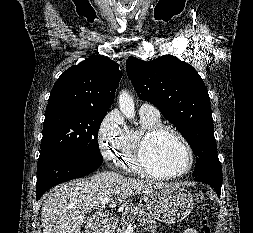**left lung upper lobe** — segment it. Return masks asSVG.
I'll return each mask as SVG.
<instances>
[{
    "label": "left lung upper lobe",
    "instance_id": "obj_1",
    "mask_svg": "<svg viewBox=\"0 0 253 233\" xmlns=\"http://www.w3.org/2000/svg\"><path fill=\"white\" fill-rule=\"evenodd\" d=\"M126 70L140 99L157 106L190 144L196 155L193 176L222 178L210 98L197 71L172 55L149 62L131 56Z\"/></svg>",
    "mask_w": 253,
    "mask_h": 233
}]
</instances>
